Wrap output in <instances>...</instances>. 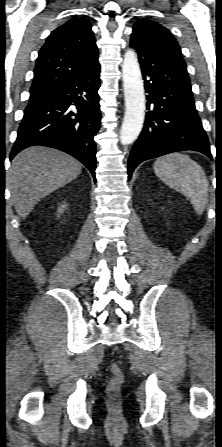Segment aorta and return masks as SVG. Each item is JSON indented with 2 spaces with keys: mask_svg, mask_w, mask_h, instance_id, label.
Listing matches in <instances>:
<instances>
[{
  "mask_svg": "<svg viewBox=\"0 0 222 447\" xmlns=\"http://www.w3.org/2000/svg\"><path fill=\"white\" fill-rule=\"evenodd\" d=\"M125 115L120 131L123 145L131 144L139 136L145 117L144 85L137 55L129 49L122 65Z\"/></svg>",
  "mask_w": 222,
  "mask_h": 447,
  "instance_id": "1",
  "label": "aorta"
}]
</instances>
